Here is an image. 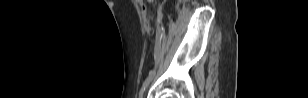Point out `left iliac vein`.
<instances>
[{
    "label": "left iliac vein",
    "mask_w": 308,
    "mask_h": 98,
    "mask_svg": "<svg viewBox=\"0 0 308 98\" xmlns=\"http://www.w3.org/2000/svg\"><path fill=\"white\" fill-rule=\"evenodd\" d=\"M152 78H153V77H152ZM151 80H152V79H151ZM151 80H150V82H151ZM150 82H149V83H150ZM149 83H148V85H149ZM148 85H147V86H148ZM147 86H146V87H147Z\"/></svg>",
    "instance_id": "1"
}]
</instances>
